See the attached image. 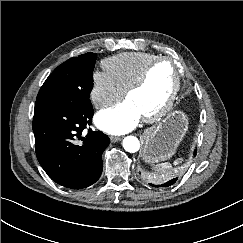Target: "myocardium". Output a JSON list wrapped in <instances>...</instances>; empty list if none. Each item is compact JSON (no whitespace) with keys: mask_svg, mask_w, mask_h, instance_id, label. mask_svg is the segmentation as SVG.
Listing matches in <instances>:
<instances>
[{"mask_svg":"<svg viewBox=\"0 0 243 243\" xmlns=\"http://www.w3.org/2000/svg\"><path fill=\"white\" fill-rule=\"evenodd\" d=\"M162 61H169L171 62L175 67V80L173 87L168 95V97L165 99V101L154 111L144 115L145 119L148 121H154L158 118H160L162 115H164L169 108L172 106L181 86V73L178 62L170 57V56H157L153 60H151L145 68L142 70V72L139 74V76L133 80L126 88H125V96L127 97L131 92L134 90L140 88L143 86V84L146 82L149 73L151 69L159 62Z\"/></svg>","mask_w":243,"mask_h":243,"instance_id":"1","label":"myocardium"}]
</instances>
